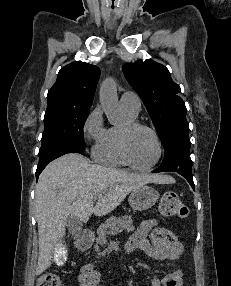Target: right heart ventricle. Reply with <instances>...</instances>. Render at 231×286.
<instances>
[{
  "instance_id": "1",
  "label": "right heart ventricle",
  "mask_w": 231,
  "mask_h": 286,
  "mask_svg": "<svg viewBox=\"0 0 231 286\" xmlns=\"http://www.w3.org/2000/svg\"><path fill=\"white\" fill-rule=\"evenodd\" d=\"M126 121H136L137 114L123 110ZM119 130L120 128L111 127L106 130V134L101 143L94 150L95 159L108 166L124 167L128 164L122 157L119 149Z\"/></svg>"
}]
</instances>
